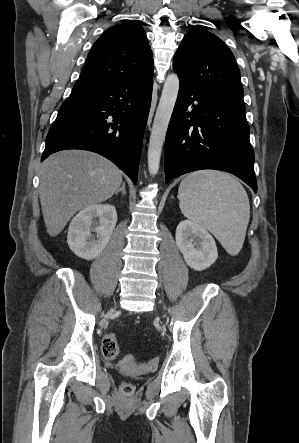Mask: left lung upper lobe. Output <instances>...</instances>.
<instances>
[{
    "label": "left lung upper lobe",
    "instance_id": "left-lung-upper-lobe-1",
    "mask_svg": "<svg viewBox=\"0 0 299 443\" xmlns=\"http://www.w3.org/2000/svg\"><path fill=\"white\" fill-rule=\"evenodd\" d=\"M179 79L244 105L240 71L227 45L201 27L184 36L173 59Z\"/></svg>",
    "mask_w": 299,
    "mask_h": 443
}]
</instances>
